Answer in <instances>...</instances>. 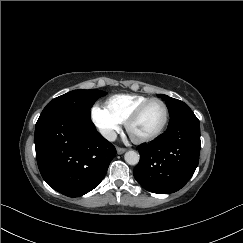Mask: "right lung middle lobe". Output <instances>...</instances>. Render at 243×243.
<instances>
[{"label": "right lung middle lobe", "mask_w": 243, "mask_h": 243, "mask_svg": "<svg viewBox=\"0 0 243 243\" xmlns=\"http://www.w3.org/2000/svg\"><path fill=\"white\" fill-rule=\"evenodd\" d=\"M106 94V92L99 90H74L68 92L50 101L38 120L54 114H67L91 119V107L98 98Z\"/></svg>", "instance_id": "right-lung-middle-lobe-1"}]
</instances>
